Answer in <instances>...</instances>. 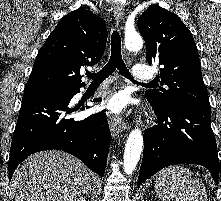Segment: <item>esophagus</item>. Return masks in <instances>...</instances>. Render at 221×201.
<instances>
[{
    "mask_svg": "<svg viewBox=\"0 0 221 201\" xmlns=\"http://www.w3.org/2000/svg\"><path fill=\"white\" fill-rule=\"evenodd\" d=\"M114 17L116 24L119 25L124 20V6L122 3H115L114 5ZM109 126L113 133L119 134L123 130L127 129V125L120 116L112 114L108 115Z\"/></svg>",
    "mask_w": 221,
    "mask_h": 201,
    "instance_id": "obj_1",
    "label": "esophagus"
}]
</instances>
